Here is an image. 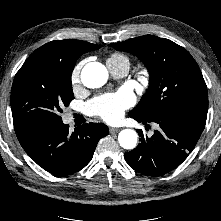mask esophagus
<instances>
[{
  "mask_svg": "<svg viewBox=\"0 0 221 221\" xmlns=\"http://www.w3.org/2000/svg\"><path fill=\"white\" fill-rule=\"evenodd\" d=\"M118 131H120V128H114V127L109 128V132L112 134L117 133Z\"/></svg>",
  "mask_w": 221,
  "mask_h": 221,
  "instance_id": "34e87169",
  "label": "esophagus"
}]
</instances>
